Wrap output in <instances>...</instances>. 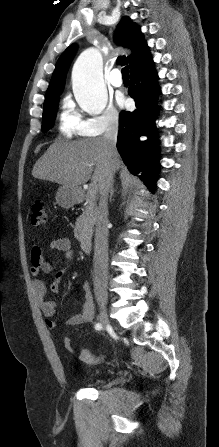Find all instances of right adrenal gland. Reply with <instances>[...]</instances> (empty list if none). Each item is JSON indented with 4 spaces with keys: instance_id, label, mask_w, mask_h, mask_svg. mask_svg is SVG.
<instances>
[{
    "instance_id": "right-adrenal-gland-1",
    "label": "right adrenal gland",
    "mask_w": 219,
    "mask_h": 447,
    "mask_svg": "<svg viewBox=\"0 0 219 447\" xmlns=\"http://www.w3.org/2000/svg\"><path fill=\"white\" fill-rule=\"evenodd\" d=\"M113 194H114V188H113V183H112L111 190H110V199L112 198Z\"/></svg>"
}]
</instances>
